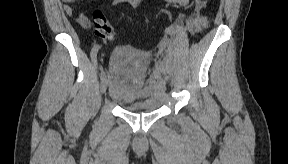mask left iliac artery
<instances>
[{
	"mask_svg": "<svg viewBox=\"0 0 288 164\" xmlns=\"http://www.w3.org/2000/svg\"><path fill=\"white\" fill-rule=\"evenodd\" d=\"M163 60H164V63H166V64H169V62H170V60L167 56H165Z\"/></svg>",
	"mask_w": 288,
	"mask_h": 164,
	"instance_id": "left-iliac-artery-1",
	"label": "left iliac artery"
}]
</instances>
